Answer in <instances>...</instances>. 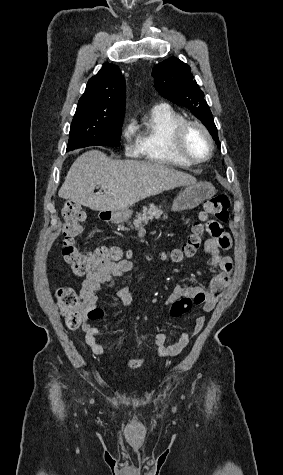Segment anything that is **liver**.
Listing matches in <instances>:
<instances>
[{
  "instance_id": "1",
  "label": "liver",
  "mask_w": 283,
  "mask_h": 475,
  "mask_svg": "<svg viewBox=\"0 0 283 475\" xmlns=\"http://www.w3.org/2000/svg\"><path fill=\"white\" fill-rule=\"evenodd\" d=\"M196 182L194 176L164 164L111 160L103 152L91 150L73 162L58 196L90 210L117 212L149 196ZM96 186L107 192L94 194Z\"/></svg>"
}]
</instances>
